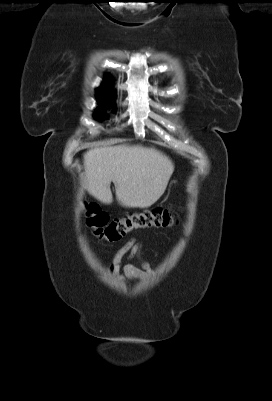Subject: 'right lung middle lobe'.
Returning a JSON list of instances; mask_svg holds the SVG:
<instances>
[{
	"label": "right lung middle lobe",
	"mask_w": 272,
	"mask_h": 401,
	"mask_svg": "<svg viewBox=\"0 0 272 401\" xmlns=\"http://www.w3.org/2000/svg\"><path fill=\"white\" fill-rule=\"evenodd\" d=\"M104 101V100H103ZM103 101H99L101 104H103ZM95 117L96 118H99V117H106L105 115H104V113H102V112H100V111H98V112H96L95 113Z\"/></svg>",
	"instance_id": "obj_1"
}]
</instances>
